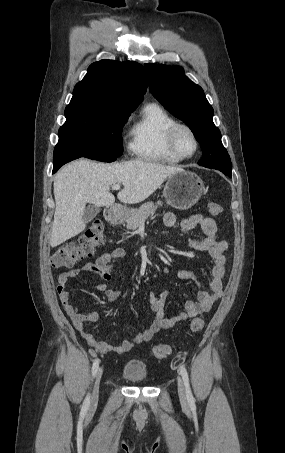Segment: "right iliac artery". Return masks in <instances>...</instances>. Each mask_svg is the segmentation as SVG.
Returning a JSON list of instances; mask_svg holds the SVG:
<instances>
[{
	"label": "right iliac artery",
	"instance_id": "obj_1",
	"mask_svg": "<svg viewBox=\"0 0 285 453\" xmlns=\"http://www.w3.org/2000/svg\"><path fill=\"white\" fill-rule=\"evenodd\" d=\"M98 366H99V360L96 359L94 361V363H93V366H92V375H93V377L97 373ZM89 404H90V395L88 394L87 397L85 398L84 402H83V405H82V412L83 413H85L88 410Z\"/></svg>",
	"mask_w": 285,
	"mask_h": 453
}]
</instances>
